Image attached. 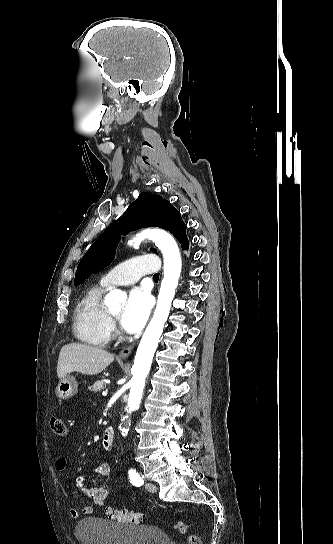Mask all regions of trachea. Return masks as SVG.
<instances>
[{"label":"trachea","mask_w":333,"mask_h":544,"mask_svg":"<svg viewBox=\"0 0 333 544\" xmlns=\"http://www.w3.org/2000/svg\"><path fill=\"white\" fill-rule=\"evenodd\" d=\"M154 279H158L159 278V273H156L154 276H153Z\"/></svg>","instance_id":"trachea-1"}]
</instances>
